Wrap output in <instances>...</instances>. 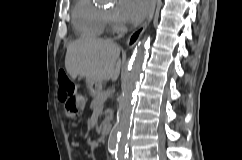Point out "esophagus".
Wrapping results in <instances>:
<instances>
[{"instance_id":"esophagus-1","label":"esophagus","mask_w":242,"mask_h":160,"mask_svg":"<svg viewBox=\"0 0 242 160\" xmlns=\"http://www.w3.org/2000/svg\"><path fill=\"white\" fill-rule=\"evenodd\" d=\"M157 1L158 0H153L152 10H151L148 18L145 20V22L137 30H135L133 33H131V35L128 37L127 48L131 49L135 46V44L138 42V40L140 39V37L143 34V32L145 31V29L149 25L150 21L153 18Z\"/></svg>"}]
</instances>
